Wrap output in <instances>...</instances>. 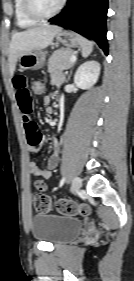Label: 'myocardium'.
Returning <instances> with one entry per match:
<instances>
[{"instance_id":"f54148a6","label":"myocardium","mask_w":134,"mask_h":281,"mask_svg":"<svg viewBox=\"0 0 134 281\" xmlns=\"http://www.w3.org/2000/svg\"><path fill=\"white\" fill-rule=\"evenodd\" d=\"M67 0H61L58 6L49 13L41 12L35 4V0H23V6L26 14L34 20L42 21L56 16L65 6Z\"/></svg>"}]
</instances>
